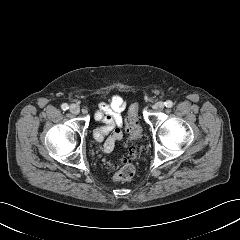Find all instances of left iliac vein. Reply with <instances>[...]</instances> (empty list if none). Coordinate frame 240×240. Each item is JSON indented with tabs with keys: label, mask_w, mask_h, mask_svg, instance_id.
<instances>
[{
	"label": "left iliac vein",
	"mask_w": 240,
	"mask_h": 240,
	"mask_svg": "<svg viewBox=\"0 0 240 240\" xmlns=\"http://www.w3.org/2000/svg\"><path fill=\"white\" fill-rule=\"evenodd\" d=\"M164 107L165 104L162 101H159L154 105V109L158 111L163 110Z\"/></svg>",
	"instance_id": "left-iliac-vein-1"
}]
</instances>
